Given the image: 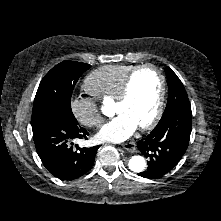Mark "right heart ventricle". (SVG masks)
<instances>
[{"label": "right heart ventricle", "instance_id": "right-heart-ventricle-1", "mask_svg": "<svg viewBox=\"0 0 221 221\" xmlns=\"http://www.w3.org/2000/svg\"><path fill=\"white\" fill-rule=\"evenodd\" d=\"M134 65H106L91 72L84 81L87 93L101 100H115Z\"/></svg>", "mask_w": 221, "mask_h": 221}]
</instances>
